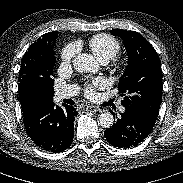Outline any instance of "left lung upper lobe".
Wrapping results in <instances>:
<instances>
[{
    "instance_id": "obj_1",
    "label": "left lung upper lobe",
    "mask_w": 183,
    "mask_h": 183,
    "mask_svg": "<svg viewBox=\"0 0 183 183\" xmlns=\"http://www.w3.org/2000/svg\"><path fill=\"white\" fill-rule=\"evenodd\" d=\"M119 36L128 52V66L118 86L121 104L138 109L157 119L162 99L161 62L152 45L139 33L110 30Z\"/></svg>"
}]
</instances>
